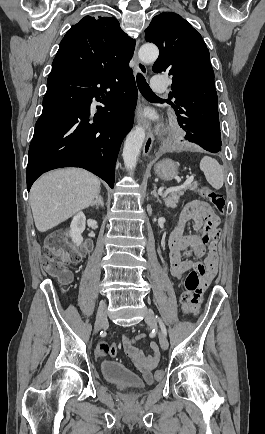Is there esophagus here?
<instances>
[{
	"instance_id": "obj_1",
	"label": "esophagus",
	"mask_w": 265,
	"mask_h": 434,
	"mask_svg": "<svg viewBox=\"0 0 265 434\" xmlns=\"http://www.w3.org/2000/svg\"><path fill=\"white\" fill-rule=\"evenodd\" d=\"M139 42H140V40L137 42V46L139 45ZM133 60L135 62V70L137 72H140V74L146 75L147 74V67L144 63L140 62V60L138 59L137 51H135V53H134ZM140 109H141V102L139 101L138 106H137V120L146 129V139H145V143L143 145V155H148L150 150H151L153 141H154V135L151 131V127H150L149 122L140 115Z\"/></svg>"
}]
</instances>
